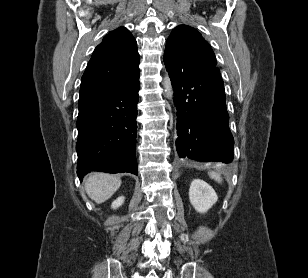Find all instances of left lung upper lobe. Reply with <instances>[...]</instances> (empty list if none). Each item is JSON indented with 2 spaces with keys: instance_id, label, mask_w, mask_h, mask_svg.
Here are the masks:
<instances>
[{
  "instance_id": "1",
  "label": "left lung upper lobe",
  "mask_w": 308,
  "mask_h": 278,
  "mask_svg": "<svg viewBox=\"0 0 308 278\" xmlns=\"http://www.w3.org/2000/svg\"><path fill=\"white\" fill-rule=\"evenodd\" d=\"M164 63L169 72L186 76L215 68L217 61L210 45L196 29L179 25L167 39Z\"/></svg>"
}]
</instances>
